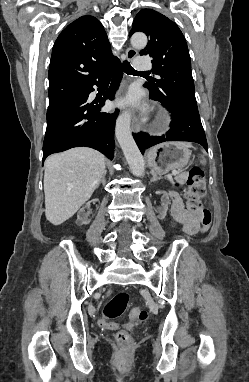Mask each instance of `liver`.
<instances>
[{
	"label": "liver",
	"mask_w": 249,
	"mask_h": 382,
	"mask_svg": "<svg viewBox=\"0 0 249 382\" xmlns=\"http://www.w3.org/2000/svg\"><path fill=\"white\" fill-rule=\"evenodd\" d=\"M106 172L105 157L87 148H72L45 161V216L53 225L71 218L90 199Z\"/></svg>",
	"instance_id": "6515ba94"
}]
</instances>
